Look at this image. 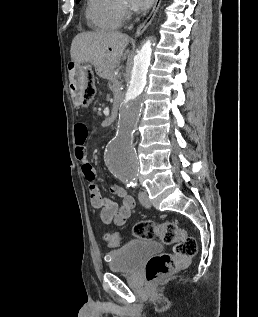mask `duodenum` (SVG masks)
<instances>
[{
	"mask_svg": "<svg viewBox=\"0 0 258 317\" xmlns=\"http://www.w3.org/2000/svg\"><path fill=\"white\" fill-rule=\"evenodd\" d=\"M68 75H69V81H70L71 87L78 88L80 69L76 66H69Z\"/></svg>",
	"mask_w": 258,
	"mask_h": 317,
	"instance_id": "duodenum-1",
	"label": "duodenum"
}]
</instances>
